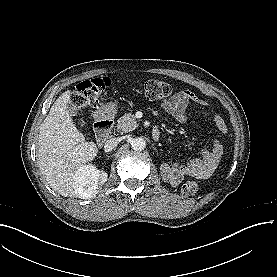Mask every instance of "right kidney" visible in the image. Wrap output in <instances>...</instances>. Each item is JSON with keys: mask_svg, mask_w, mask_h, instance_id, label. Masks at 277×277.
<instances>
[{"mask_svg": "<svg viewBox=\"0 0 277 277\" xmlns=\"http://www.w3.org/2000/svg\"><path fill=\"white\" fill-rule=\"evenodd\" d=\"M106 181V173L99 171L94 165L88 164L79 168L74 176L77 191L83 198H90L98 193V182Z\"/></svg>", "mask_w": 277, "mask_h": 277, "instance_id": "right-kidney-1", "label": "right kidney"}]
</instances>
